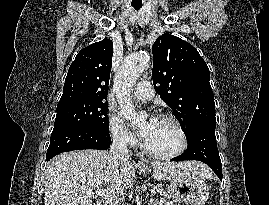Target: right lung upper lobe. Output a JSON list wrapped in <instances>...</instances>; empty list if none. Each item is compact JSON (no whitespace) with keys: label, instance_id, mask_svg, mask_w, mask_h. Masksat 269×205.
I'll list each match as a JSON object with an SVG mask.
<instances>
[{"label":"right lung upper lobe","instance_id":"1","mask_svg":"<svg viewBox=\"0 0 269 205\" xmlns=\"http://www.w3.org/2000/svg\"><path fill=\"white\" fill-rule=\"evenodd\" d=\"M112 55L110 39L83 48L68 70L57 106L107 100Z\"/></svg>","mask_w":269,"mask_h":205}]
</instances>
